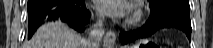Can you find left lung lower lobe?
<instances>
[{"label":"left lung lower lobe","instance_id":"0a47b994","mask_svg":"<svg viewBox=\"0 0 213 48\" xmlns=\"http://www.w3.org/2000/svg\"><path fill=\"white\" fill-rule=\"evenodd\" d=\"M169 27L182 30L190 40L192 31L190 10L173 5L151 9L150 17L142 28L130 32H121L119 37L122 44H127L136 39L146 38L159 29Z\"/></svg>","mask_w":213,"mask_h":48}]
</instances>
